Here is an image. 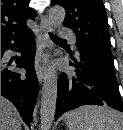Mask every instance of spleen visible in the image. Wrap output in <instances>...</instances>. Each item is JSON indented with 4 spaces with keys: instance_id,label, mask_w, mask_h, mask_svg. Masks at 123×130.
Masks as SVG:
<instances>
[{
    "instance_id": "obj_1",
    "label": "spleen",
    "mask_w": 123,
    "mask_h": 130,
    "mask_svg": "<svg viewBox=\"0 0 123 130\" xmlns=\"http://www.w3.org/2000/svg\"><path fill=\"white\" fill-rule=\"evenodd\" d=\"M68 130H123L113 110L95 105L81 106L65 114Z\"/></svg>"
}]
</instances>
